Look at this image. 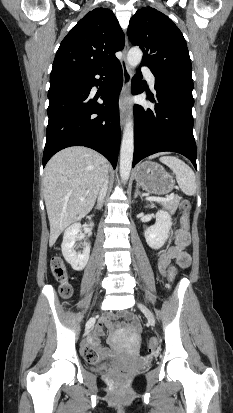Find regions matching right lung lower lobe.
<instances>
[{"label":"right lung lower lobe","instance_id":"right-lung-lower-lobe-1","mask_svg":"<svg viewBox=\"0 0 233 413\" xmlns=\"http://www.w3.org/2000/svg\"><path fill=\"white\" fill-rule=\"evenodd\" d=\"M106 75L107 85L101 96L103 104L89 94ZM123 83L120 62L81 74L50 79L48 91L49 122L43 166L58 151L70 146H86L103 154L116 167L120 145L118 96Z\"/></svg>","mask_w":233,"mask_h":413}]
</instances>
